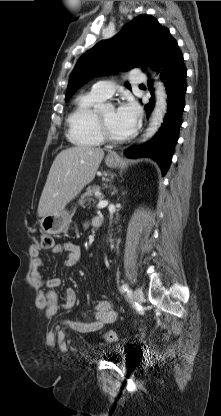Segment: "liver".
<instances>
[{
  "label": "liver",
  "instance_id": "obj_1",
  "mask_svg": "<svg viewBox=\"0 0 221 416\" xmlns=\"http://www.w3.org/2000/svg\"><path fill=\"white\" fill-rule=\"evenodd\" d=\"M104 157L101 148L75 146L61 151L53 161L39 205V217L65 208L96 175Z\"/></svg>",
  "mask_w": 221,
  "mask_h": 416
}]
</instances>
